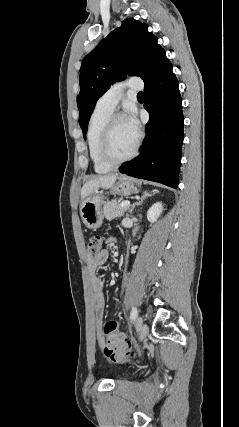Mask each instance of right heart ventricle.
Instances as JSON below:
<instances>
[{"label":"right heart ventricle","mask_w":239,"mask_h":427,"mask_svg":"<svg viewBox=\"0 0 239 427\" xmlns=\"http://www.w3.org/2000/svg\"><path fill=\"white\" fill-rule=\"evenodd\" d=\"M111 114L112 112L110 111H105L96 107L90 117L87 127L86 138L88 152L93 168L97 173H106L112 168L101 159L99 153L101 134Z\"/></svg>","instance_id":"right-heart-ventricle-1"}]
</instances>
